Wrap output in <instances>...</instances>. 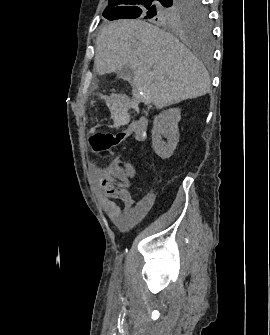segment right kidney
Returning <instances> with one entry per match:
<instances>
[{
  "mask_svg": "<svg viewBox=\"0 0 270 335\" xmlns=\"http://www.w3.org/2000/svg\"><path fill=\"white\" fill-rule=\"evenodd\" d=\"M181 110L171 108L164 110L159 116H155L152 128V146L157 156L162 160H167L172 156L179 142L178 122L181 120ZM161 136L167 138L168 142H161Z\"/></svg>",
  "mask_w": 270,
  "mask_h": 335,
  "instance_id": "1",
  "label": "right kidney"
}]
</instances>
